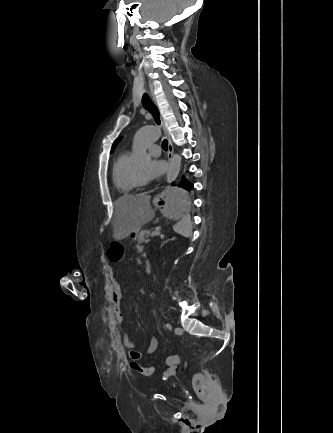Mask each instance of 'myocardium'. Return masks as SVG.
<instances>
[{
    "mask_svg": "<svg viewBox=\"0 0 333 433\" xmlns=\"http://www.w3.org/2000/svg\"><path fill=\"white\" fill-rule=\"evenodd\" d=\"M129 179H130L131 184L134 187H141V186H144L146 184L145 182L140 181L137 178L133 165H131V167H130Z\"/></svg>",
    "mask_w": 333,
    "mask_h": 433,
    "instance_id": "f54148a6",
    "label": "myocardium"
}]
</instances>
